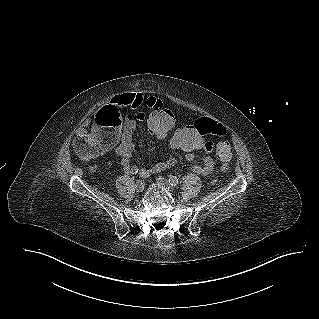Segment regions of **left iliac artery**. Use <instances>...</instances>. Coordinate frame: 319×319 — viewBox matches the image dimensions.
Returning a JSON list of instances; mask_svg holds the SVG:
<instances>
[{
    "label": "left iliac artery",
    "mask_w": 319,
    "mask_h": 319,
    "mask_svg": "<svg viewBox=\"0 0 319 319\" xmlns=\"http://www.w3.org/2000/svg\"><path fill=\"white\" fill-rule=\"evenodd\" d=\"M168 181H169L170 185H172V186L178 185V179L176 176H170Z\"/></svg>",
    "instance_id": "44dca946"
}]
</instances>
